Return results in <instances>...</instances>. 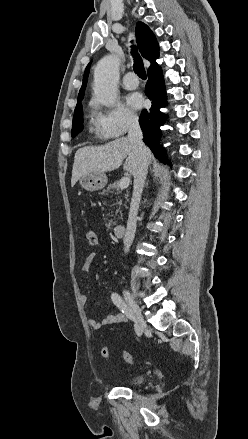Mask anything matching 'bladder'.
I'll use <instances>...</instances> for the list:
<instances>
[{
	"label": "bladder",
	"mask_w": 248,
	"mask_h": 439,
	"mask_svg": "<svg viewBox=\"0 0 248 439\" xmlns=\"http://www.w3.org/2000/svg\"><path fill=\"white\" fill-rule=\"evenodd\" d=\"M146 379V375L143 373L134 374L125 378L122 383L128 386H135L142 384Z\"/></svg>",
	"instance_id": "bladder-1"
}]
</instances>
